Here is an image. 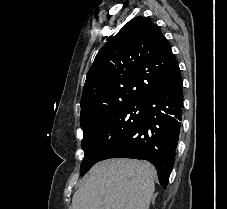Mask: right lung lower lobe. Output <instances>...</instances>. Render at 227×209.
<instances>
[{
    "label": "right lung lower lobe",
    "instance_id": "1",
    "mask_svg": "<svg viewBox=\"0 0 227 209\" xmlns=\"http://www.w3.org/2000/svg\"><path fill=\"white\" fill-rule=\"evenodd\" d=\"M157 74L169 76L167 83L144 100L141 119L102 158L145 159L158 171L159 182L166 188L173 168L181 127L183 91L178 64L160 66Z\"/></svg>",
    "mask_w": 227,
    "mask_h": 209
}]
</instances>
